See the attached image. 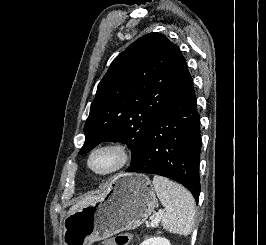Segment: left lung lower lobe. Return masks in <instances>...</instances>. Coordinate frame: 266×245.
<instances>
[{
    "label": "left lung lower lobe",
    "instance_id": "0a47b994",
    "mask_svg": "<svg viewBox=\"0 0 266 245\" xmlns=\"http://www.w3.org/2000/svg\"><path fill=\"white\" fill-rule=\"evenodd\" d=\"M200 150V116L187 69L151 123L139 159L126 171L170 178L186 187L198 201Z\"/></svg>",
    "mask_w": 266,
    "mask_h": 245
}]
</instances>
